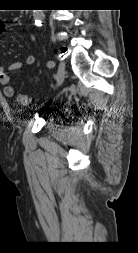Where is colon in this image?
I'll return each mask as SVG.
<instances>
[{
  "label": "colon",
  "mask_w": 138,
  "mask_h": 253,
  "mask_svg": "<svg viewBox=\"0 0 138 253\" xmlns=\"http://www.w3.org/2000/svg\"><path fill=\"white\" fill-rule=\"evenodd\" d=\"M17 102L23 106H32L33 105V97L24 94V93H18L16 96Z\"/></svg>",
  "instance_id": "1"
}]
</instances>
